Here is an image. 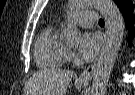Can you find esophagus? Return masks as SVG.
Segmentation results:
<instances>
[{
	"label": "esophagus",
	"instance_id": "esophagus-1",
	"mask_svg": "<svg viewBox=\"0 0 135 95\" xmlns=\"http://www.w3.org/2000/svg\"><path fill=\"white\" fill-rule=\"evenodd\" d=\"M95 67H96L95 63L89 65L87 68H85L83 70V72L79 75L77 80L79 82H84V83L89 82L92 79V77H93V74H94V71H95Z\"/></svg>",
	"mask_w": 135,
	"mask_h": 95
}]
</instances>
